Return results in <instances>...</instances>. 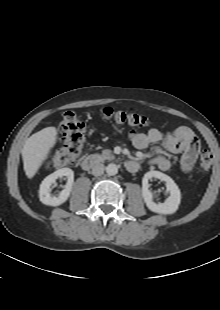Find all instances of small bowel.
I'll return each instance as SVG.
<instances>
[{"label": "small bowel", "instance_id": "1", "mask_svg": "<svg viewBox=\"0 0 220 310\" xmlns=\"http://www.w3.org/2000/svg\"><path fill=\"white\" fill-rule=\"evenodd\" d=\"M129 138L135 148L143 150L150 145L160 144L169 153H180V166L182 171L190 172L197 159L200 150V141L195 133L186 126H181L170 132H162L157 128H151L146 133L132 131ZM151 163L162 171H168L172 163L165 155H157Z\"/></svg>", "mask_w": 220, "mask_h": 310}]
</instances>
